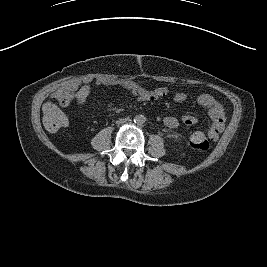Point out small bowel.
<instances>
[{
	"instance_id": "obj_1",
	"label": "small bowel",
	"mask_w": 267,
	"mask_h": 267,
	"mask_svg": "<svg viewBox=\"0 0 267 267\" xmlns=\"http://www.w3.org/2000/svg\"><path fill=\"white\" fill-rule=\"evenodd\" d=\"M127 89L132 96L139 101L149 102L155 101L167 95L165 87H156L152 90L146 89L136 83H124L121 85ZM91 88L89 84L68 86L64 91L57 93L55 98L63 105L68 106L71 101H76L78 104H84L89 97ZM188 98L185 92H176L173 95V100L177 103H182ZM198 105L204 107L211 119V123L207 129L208 135L213 141L218 140L225 124V108L221 102L216 100L209 94H200L196 98ZM181 121L186 125H195L198 123L196 116L185 114L181 117ZM164 124L169 128H177L179 120L174 116L164 118ZM197 133V132H196Z\"/></svg>"
}]
</instances>
